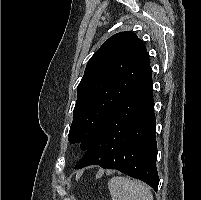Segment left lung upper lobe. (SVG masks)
<instances>
[{
	"label": "left lung upper lobe",
	"mask_w": 201,
	"mask_h": 200,
	"mask_svg": "<svg viewBox=\"0 0 201 200\" xmlns=\"http://www.w3.org/2000/svg\"><path fill=\"white\" fill-rule=\"evenodd\" d=\"M151 71L146 47L135 33L120 32L105 41L78 85L70 142H81L87 150L109 113Z\"/></svg>",
	"instance_id": "1"
}]
</instances>
